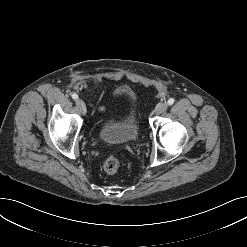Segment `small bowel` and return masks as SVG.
Wrapping results in <instances>:
<instances>
[{
  "instance_id": "c3829d8e",
  "label": "small bowel",
  "mask_w": 247,
  "mask_h": 247,
  "mask_svg": "<svg viewBox=\"0 0 247 247\" xmlns=\"http://www.w3.org/2000/svg\"><path fill=\"white\" fill-rule=\"evenodd\" d=\"M99 109H100L101 111H104V110H105V108H104V107H100Z\"/></svg>"
}]
</instances>
